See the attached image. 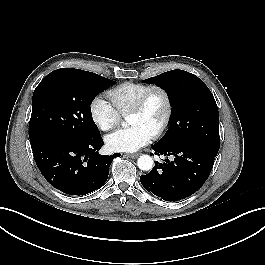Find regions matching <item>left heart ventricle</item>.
I'll use <instances>...</instances> for the list:
<instances>
[{
    "instance_id": "left-heart-ventricle-1",
    "label": "left heart ventricle",
    "mask_w": 265,
    "mask_h": 265,
    "mask_svg": "<svg viewBox=\"0 0 265 265\" xmlns=\"http://www.w3.org/2000/svg\"><path fill=\"white\" fill-rule=\"evenodd\" d=\"M166 104L163 96L155 93L149 100L145 110L141 113L128 115L129 125H141L151 133L158 127L165 114Z\"/></svg>"
}]
</instances>
